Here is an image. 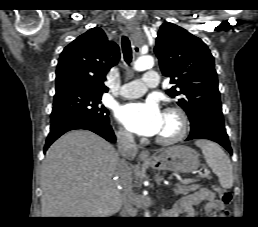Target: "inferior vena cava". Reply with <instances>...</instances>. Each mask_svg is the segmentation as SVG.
Wrapping results in <instances>:
<instances>
[{"label": "inferior vena cava", "instance_id": "602c4592", "mask_svg": "<svg viewBox=\"0 0 258 227\" xmlns=\"http://www.w3.org/2000/svg\"><path fill=\"white\" fill-rule=\"evenodd\" d=\"M117 142H118V151L123 157L119 161V167L124 171L125 184L122 190L124 198L122 202V217H129L131 210L130 203V192H131V184H130V176H129V164L126 162L127 160H133L137 154V145L135 143L134 137L130 132L127 131H119L117 133Z\"/></svg>", "mask_w": 258, "mask_h": 227}]
</instances>
